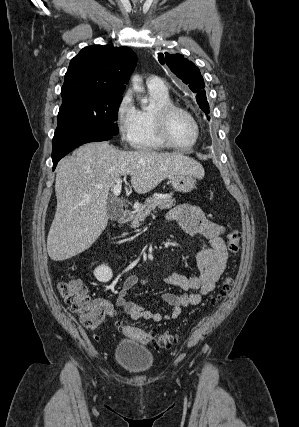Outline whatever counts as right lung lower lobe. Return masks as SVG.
I'll list each match as a JSON object with an SVG mask.
<instances>
[{
    "mask_svg": "<svg viewBox=\"0 0 299 427\" xmlns=\"http://www.w3.org/2000/svg\"><path fill=\"white\" fill-rule=\"evenodd\" d=\"M111 136H79L70 138L64 141H61L55 145H53L52 150V161H53V170L55 169L58 161L71 152L76 147L89 143V142H97V141H106L109 140Z\"/></svg>",
    "mask_w": 299,
    "mask_h": 427,
    "instance_id": "1",
    "label": "right lung lower lobe"
}]
</instances>
